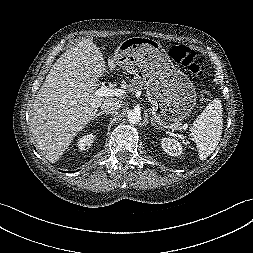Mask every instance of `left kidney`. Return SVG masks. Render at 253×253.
I'll return each instance as SVG.
<instances>
[{
	"mask_svg": "<svg viewBox=\"0 0 253 253\" xmlns=\"http://www.w3.org/2000/svg\"><path fill=\"white\" fill-rule=\"evenodd\" d=\"M161 145L170 156H179L182 153V145L174 138H162Z\"/></svg>",
	"mask_w": 253,
	"mask_h": 253,
	"instance_id": "5707ae66",
	"label": "left kidney"
}]
</instances>
